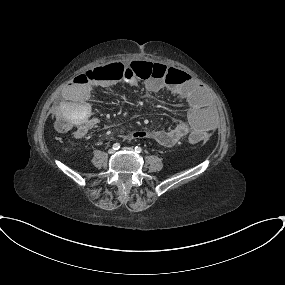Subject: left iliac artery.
<instances>
[{
    "mask_svg": "<svg viewBox=\"0 0 285 285\" xmlns=\"http://www.w3.org/2000/svg\"><path fill=\"white\" fill-rule=\"evenodd\" d=\"M134 150H135L136 153H141V152H142V148L139 147V146H136V147L134 148Z\"/></svg>",
    "mask_w": 285,
    "mask_h": 285,
    "instance_id": "44dca946",
    "label": "left iliac artery"
}]
</instances>
